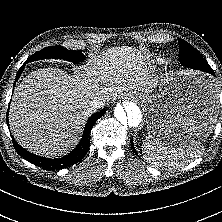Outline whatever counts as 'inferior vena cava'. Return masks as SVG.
<instances>
[{
	"mask_svg": "<svg viewBox=\"0 0 222 222\" xmlns=\"http://www.w3.org/2000/svg\"><path fill=\"white\" fill-rule=\"evenodd\" d=\"M106 104V101L103 98H96L88 103V107L90 111H94L100 108H103Z\"/></svg>",
	"mask_w": 222,
	"mask_h": 222,
	"instance_id": "inferior-vena-cava-1",
	"label": "inferior vena cava"
}]
</instances>
